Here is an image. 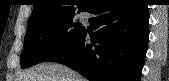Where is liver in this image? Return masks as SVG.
Instances as JSON below:
<instances>
[{"mask_svg":"<svg viewBox=\"0 0 169 81\" xmlns=\"http://www.w3.org/2000/svg\"><path fill=\"white\" fill-rule=\"evenodd\" d=\"M19 79V81H86L69 67L54 62L35 65L23 72Z\"/></svg>","mask_w":169,"mask_h":81,"instance_id":"liver-1","label":"liver"}]
</instances>
